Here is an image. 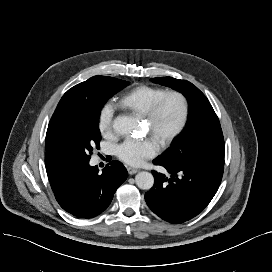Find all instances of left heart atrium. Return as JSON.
I'll return each instance as SVG.
<instances>
[{
  "mask_svg": "<svg viewBox=\"0 0 272 272\" xmlns=\"http://www.w3.org/2000/svg\"><path fill=\"white\" fill-rule=\"evenodd\" d=\"M157 146L149 140L127 139L116 147L118 158L131 166H140L146 159L154 157Z\"/></svg>",
  "mask_w": 272,
  "mask_h": 272,
  "instance_id": "39dd6f15",
  "label": "left heart atrium"
}]
</instances>
